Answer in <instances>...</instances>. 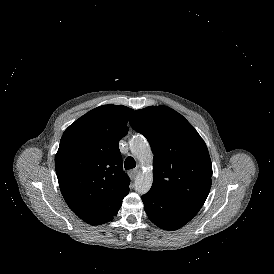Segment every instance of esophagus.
Instances as JSON below:
<instances>
[{
    "label": "esophagus",
    "mask_w": 274,
    "mask_h": 274,
    "mask_svg": "<svg viewBox=\"0 0 274 274\" xmlns=\"http://www.w3.org/2000/svg\"><path fill=\"white\" fill-rule=\"evenodd\" d=\"M128 175L132 180H134L138 175V170L137 169H132L128 172Z\"/></svg>",
    "instance_id": "obj_1"
}]
</instances>
